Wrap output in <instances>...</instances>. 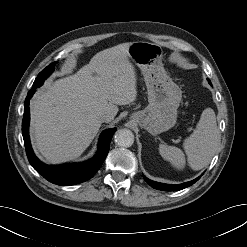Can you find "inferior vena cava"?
Wrapping results in <instances>:
<instances>
[{"mask_svg": "<svg viewBox=\"0 0 247 247\" xmlns=\"http://www.w3.org/2000/svg\"><path fill=\"white\" fill-rule=\"evenodd\" d=\"M99 118L102 122H108L111 120V115L105 113L101 114Z\"/></svg>", "mask_w": 247, "mask_h": 247, "instance_id": "obj_1", "label": "inferior vena cava"}]
</instances>
